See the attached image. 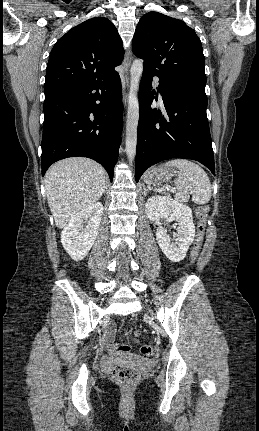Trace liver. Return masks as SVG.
Wrapping results in <instances>:
<instances>
[{
  "label": "liver",
  "mask_w": 259,
  "mask_h": 431,
  "mask_svg": "<svg viewBox=\"0 0 259 431\" xmlns=\"http://www.w3.org/2000/svg\"><path fill=\"white\" fill-rule=\"evenodd\" d=\"M106 184L105 170L91 159L73 157L53 164L45 187L56 226L64 228L75 214L97 202Z\"/></svg>",
  "instance_id": "obj_1"
}]
</instances>
